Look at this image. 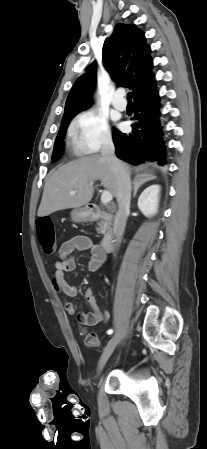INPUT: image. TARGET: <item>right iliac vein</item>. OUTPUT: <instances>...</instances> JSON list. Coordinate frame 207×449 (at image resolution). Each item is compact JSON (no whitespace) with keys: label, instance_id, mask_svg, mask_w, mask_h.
Returning <instances> with one entry per match:
<instances>
[{"label":"right iliac vein","instance_id":"63e3f726","mask_svg":"<svg viewBox=\"0 0 207 449\" xmlns=\"http://www.w3.org/2000/svg\"><path fill=\"white\" fill-rule=\"evenodd\" d=\"M121 339V333H117L115 334L110 341L108 342L107 346L105 347L102 356L99 360V365H98V370L101 371L102 368L104 367V365L106 364L107 360L109 359V357L111 356V354L113 353L116 345L119 343Z\"/></svg>","mask_w":207,"mask_h":449}]
</instances>
